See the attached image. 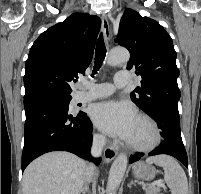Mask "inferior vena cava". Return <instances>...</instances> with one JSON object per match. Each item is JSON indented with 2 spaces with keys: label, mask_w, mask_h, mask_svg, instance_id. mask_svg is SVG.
<instances>
[{
  "label": "inferior vena cava",
  "mask_w": 201,
  "mask_h": 194,
  "mask_svg": "<svg viewBox=\"0 0 201 194\" xmlns=\"http://www.w3.org/2000/svg\"><path fill=\"white\" fill-rule=\"evenodd\" d=\"M106 143V139L104 136H98L93 139L92 147H91V155L94 157H99L102 154L103 147ZM94 173V166L90 164L87 169V177L86 181H90L92 175Z\"/></svg>",
  "instance_id": "obj_1"
}]
</instances>
